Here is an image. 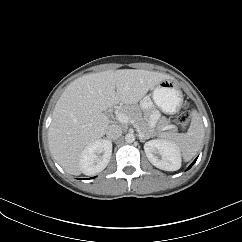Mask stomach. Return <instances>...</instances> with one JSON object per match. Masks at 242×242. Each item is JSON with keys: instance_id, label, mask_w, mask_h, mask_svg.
Listing matches in <instances>:
<instances>
[{"instance_id": "1", "label": "stomach", "mask_w": 242, "mask_h": 242, "mask_svg": "<svg viewBox=\"0 0 242 242\" xmlns=\"http://www.w3.org/2000/svg\"><path fill=\"white\" fill-rule=\"evenodd\" d=\"M155 104L165 113H176L183 103V95L177 84L172 80L160 82L152 95Z\"/></svg>"}]
</instances>
